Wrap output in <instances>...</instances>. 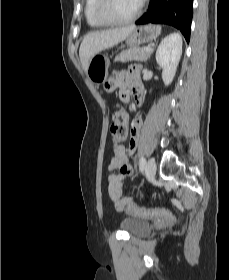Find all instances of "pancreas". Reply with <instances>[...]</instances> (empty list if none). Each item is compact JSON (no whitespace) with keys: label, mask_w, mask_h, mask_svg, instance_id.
<instances>
[{"label":"pancreas","mask_w":229,"mask_h":280,"mask_svg":"<svg viewBox=\"0 0 229 280\" xmlns=\"http://www.w3.org/2000/svg\"><path fill=\"white\" fill-rule=\"evenodd\" d=\"M151 56V52H145L144 48L132 47L122 51L115 61L128 62V61H143L146 62Z\"/></svg>","instance_id":"cf45deb5"}]
</instances>
